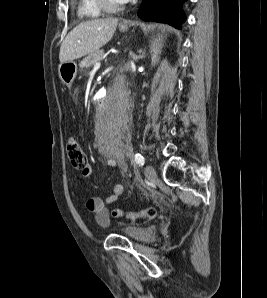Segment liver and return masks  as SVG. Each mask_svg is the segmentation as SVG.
I'll return each mask as SVG.
<instances>
[{"mask_svg": "<svg viewBox=\"0 0 267 298\" xmlns=\"http://www.w3.org/2000/svg\"><path fill=\"white\" fill-rule=\"evenodd\" d=\"M117 24V18L92 19L78 24L61 44L60 63L73 61L97 51L110 41Z\"/></svg>", "mask_w": 267, "mask_h": 298, "instance_id": "liver-1", "label": "liver"}]
</instances>
